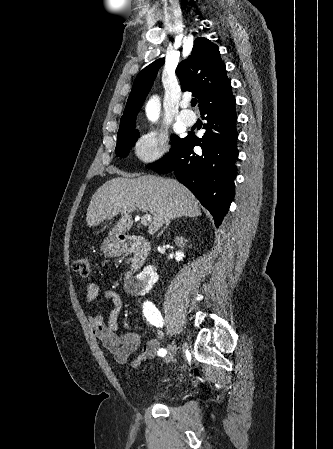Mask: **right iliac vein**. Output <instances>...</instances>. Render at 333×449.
<instances>
[{
    "mask_svg": "<svg viewBox=\"0 0 333 449\" xmlns=\"http://www.w3.org/2000/svg\"><path fill=\"white\" fill-rule=\"evenodd\" d=\"M176 353V345L174 342H172L169 346H168V350H167V354L164 357V361L167 363L170 360L173 359V357L175 356Z\"/></svg>",
    "mask_w": 333,
    "mask_h": 449,
    "instance_id": "63e3f726",
    "label": "right iliac vein"
}]
</instances>
